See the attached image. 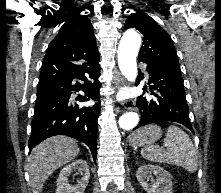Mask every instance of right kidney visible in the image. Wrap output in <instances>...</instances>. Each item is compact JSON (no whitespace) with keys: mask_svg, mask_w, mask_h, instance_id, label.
<instances>
[{"mask_svg":"<svg viewBox=\"0 0 221 193\" xmlns=\"http://www.w3.org/2000/svg\"><path fill=\"white\" fill-rule=\"evenodd\" d=\"M73 170H77L78 174L82 176L76 185H71L68 182V177ZM89 178L90 172L87 162L83 159L75 160L61 170L59 178L57 179L56 193H84L89 183Z\"/></svg>","mask_w":221,"mask_h":193,"instance_id":"ca27d5eb","label":"right kidney"}]
</instances>
